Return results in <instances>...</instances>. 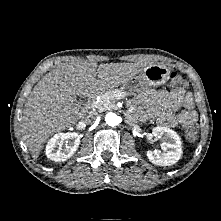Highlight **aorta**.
I'll use <instances>...</instances> for the list:
<instances>
[{"label": "aorta", "instance_id": "aorta-1", "mask_svg": "<svg viewBox=\"0 0 221 221\" xmlns=\"http://www.w3.org/2000/svg\"><path fill=\"white\" fill-rule=\"evenodd\" d=\"M105 122L113 127L120 123V117L116 113L109 112L105 116Z\"/></svg>", "mask_w": 221, "mask_h": 221}]
</instances>
